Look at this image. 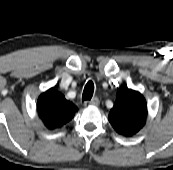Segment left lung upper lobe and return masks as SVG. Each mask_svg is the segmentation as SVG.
I'll list each match as a JSON object with an SVG mask.
<instances>
[{"label": "left lung upper lobe", "instance_id": "left-lung-upper-lobe-1", "mask_svg": "<svg viewBox=\"0 0 173 170\" xmlns=\"http://www.w3.org/2000/svg\"><path fill=\"white\" fill-rule=\"evenodd\" d=\"M146 117L147 104L142 94L127 86L120 87L108 118L116 132L134 135L144 126Z\"/></svg>", "mask_w": 173, "mask_h": 170}]
</instances>
